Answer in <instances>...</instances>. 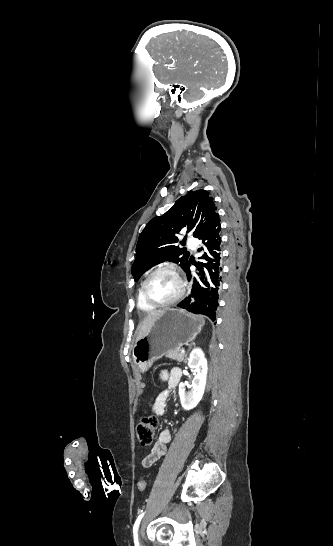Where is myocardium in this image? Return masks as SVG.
<instances>
[{
	"label": "myocardium",
	"instance_id": "1",
	"mask_svg": "<svg viewBox=\"0 0 333 546\" xmlns=\"http://www.w3.org/2000/svg\"><path fill=\"white\" fill-rule=\"evenodd\" d=\"M161 271H170L172 272L178 279L179 281V285H180V288H179V292L178 294L168 300V301H165V302H158L156 300H154L153 298L150 297V295L148 294V291H147V286H148V283L150 281V279L158 272H161ZM142 295L145 299V301L154 306V307H166V306H170V305H173L175 304L176 302H178L184 295L185 291H186V282L180 272V270L174 266V265H171V264H165V265H161L157 268H155L154 270H152L148 275L147 277L145 278V280L143 281L142 283Z\"/></svg>",
	"mask_w": 333,
	"mask_h": 546
}]
</instances>
